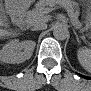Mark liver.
Returning <instances> with one entry per match:
<instances>
[{
	"instance_id": "1",
	"label": "liver",
	"mask_w": 91,
	"mask_h": 91,
	"mask_svg": "<svg viewBox=\"0 0 91 91\" xmlns=\"http://www.w3.org/2000/svg\"><path fill=\"white\" fill-rule=\"evenodd\" d=\"M37 20H33V22H35ZM15 32H5L4 35L10 36V35H15Z\"/></svg>"
}]
</instances>
